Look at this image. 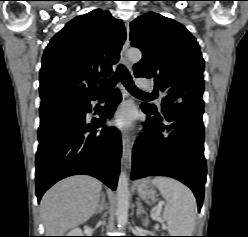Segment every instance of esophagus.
Wrapping results in <instances>:
<instances>
[{
  "label": "esophagus",
  "instance_id": "34e87169",
  "mask_svg": "<svg viewBox=\"0 0 248 237\" xmlns=\"http://www.w3.org/2000/svg\"><path fill=\"white\" fill-rule=\"evenodd\" d=\"M129 43H130V26H129V22H127L126 23V40L121 50L120 58H121V62L128 68L130 67V63L127 57ZM132 148H133V143L131 141L130 136L128 135L126 131H123L122 132V159L125 162V164L129 166L131 164Z\"/></svg>",
  "mask_w": 248,
  "mask_h": 237
}]
</instances>
